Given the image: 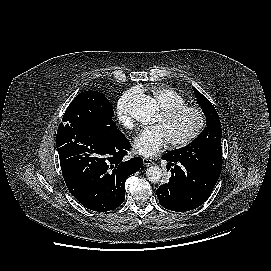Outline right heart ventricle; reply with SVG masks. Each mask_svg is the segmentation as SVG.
Listing matches in <instances>:
<instances>
[{"label":"right heart ventricle","instance_id":"right-heart-ventricle-1","mask_svg":"<svg viewBox=\"0 0 271 271\" xmlns=\"http://www.w3.org/2000/svg\"><path fill=\"white\" fill-rule=\"evenodd\" d=\"M150 91L161 109L185 105L187 103L186 99L179 92L169 87L156 86L151 88Z\"/></svg>","mask_w":271,"mask_h":271}]
</instances>
